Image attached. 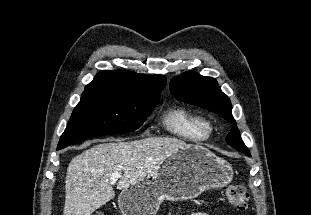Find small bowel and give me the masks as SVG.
Returning a JSON list of instances; mask_svg holds the SVG:
<instances>
[{
	"label": "small bowel",
	"mask_w": 311,
	"mask_h": 215,
	"mask_svg": "<svg viewBox=\"0 0 311 215\" xmlns=\"http://www.w3.org/2000/svg\"><path fill=\"white\" fill-rule=\"evenodd\" d=\"M190 215H211V214L206 213V212H194V213H191Z\"/></svg>",
	"instance_id": "1"
}]
</instances>
